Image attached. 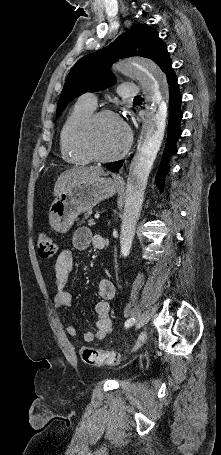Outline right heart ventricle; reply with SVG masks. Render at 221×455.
Returning <instances> with one entry per match:
<instances>
[{
    "label": "right heart ventricle",
    "instance_id": "1",
    "mask_svg": "<svg viewBox=\"0 0 221 455\" xmlns=\"http://www.w3.org/2000/svg\"><path fill=\"white\" fill-rule=\"evenodd\" d=\"M94 112V107L80 99L74 104L66 116L60 131V151L62 158L73 165H83L91 160L82 150L79 131L84 120Z\"/></svg>",
    "mask_w": 221,
    "mask_h": 455
}]
</instances>
